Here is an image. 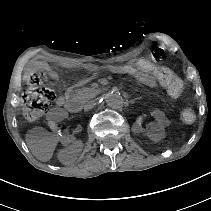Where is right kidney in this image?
I'll return each instance as SVG.
<instances>
[{
    "mask_svg": "<svg viewBox=\"0 0 211 211\" xmlns=\"http://www.w3.org/2000/svg\"><path fill=\"white\" fill-rule=\"evenodd\" d=\"M67 118L66 111L60 109V108H53L48 111L46 122L48 127H50L51 133H53V137L56 140L62 139L63 146H72L73 139L70 136L64 137V132L61 130L60 124H58L59 121H64Z\"/></svg>",
    "mask_w": 211,
    "mask_h": 211,
    "instance_id": "ca27d5eb",
    "label": "right kidney"
}]
</instances>
